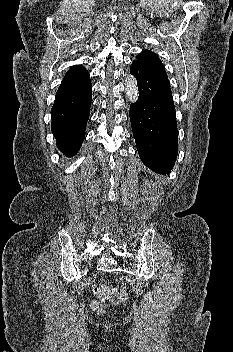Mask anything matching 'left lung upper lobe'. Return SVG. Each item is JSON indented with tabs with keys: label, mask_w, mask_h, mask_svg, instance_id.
Wrapping results in <instances>:
<instances>
[{
	"label": "left lung upper lobe",
	"mask_w": 233,
	"mask_h": 352,
	"mask_svg": "<svg viewBox=\"0 0 233 352\" xmlns=\"http://www.w3.org/2000/svg\"><path fill=\"white\" fill-rule=\"evenodd\" d=\"M135 61L146 67L148 70L156 73L157 75L168 78L162 62L160 61L159 57L152 51L143 50L139 55L136 56Z\"/></svg>",
	"instance_id": "1"
}]
</instances>
